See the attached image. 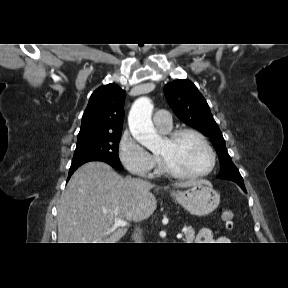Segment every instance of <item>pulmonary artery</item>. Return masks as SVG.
<instances>
[{"label":"pulmonary artery","instance_id":"e3ab8cb5","mask_svg":"<svg viewBox=\"0 0 288 288\" xmlns=\"http://www.w3.org/2000/svg\"><path fill=\"white\" fill-rule=\"evenodd\" d=\"M154 124L159 130L163 132L169 131L172 127L171 114L165 110L156 112L154 116Z\"/></svg>","mask_w":288,"mask_h":288}]
</instances>
